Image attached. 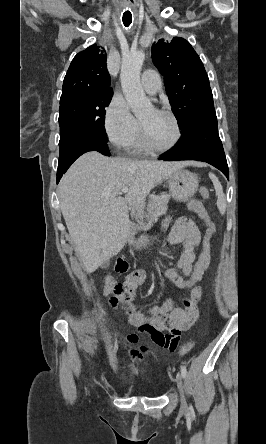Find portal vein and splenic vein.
<instances>
[{"instance_id":"1","label":"portal vein and splenic vein","mask_w":266,"mask_h":444,"mask_svg":"<svg viewBox=\"0 0 266 444\" xmlns=\"http://www.w3.org/2000/svg\"><path fill=\"white\" fill-rule=\"evenodd\" d=\"M128 192H129V188L128 187H124V188L121 189L120 193L122 194V193H128Z\"/></svg>"}]
</instances>
